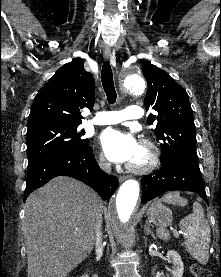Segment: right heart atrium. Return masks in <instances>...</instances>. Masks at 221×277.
Listing matches in <instances>:
<instances>
[{
  "label": "right heart atrium",
  "instance_id": "1",
  "mask_svg": "<svg viewBox=\"0 0 221 277\" xmlns=\"http://www.w3.org/2000/svg\"><path fill=\"white\" fill-rule=\"evenodd\" d=\"M98 163H99L100 167L103 169H107L109 167V163L107 162V160L105 159V157L103 155L99 156Z\"/></svg>",
  "mask_w": 221,
  "mask_h": 277
}]
</instances>
